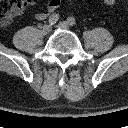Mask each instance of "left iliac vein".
<instances>
[{
  "instance_id": "1",
  "label": "left iliac vein",
  "mask_w": 128,
  "mask_h": 128,
  "mask_svg": "<svg viewBox=\"0 0 128 128\" xmlns=\"http://www.w3.org/2000/svg\"><path fill=\"white\" fill-rule=\"evenodd\" d=\"M58 27H60L62 29H69V24L65 21H61L58 23Z\"/></svg>"
}]
</instances>
